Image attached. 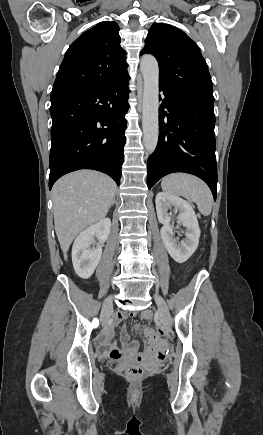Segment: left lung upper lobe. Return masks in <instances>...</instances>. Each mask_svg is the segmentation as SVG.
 Wrapping results in <instances>:
<instances>
[{"instance_id":"left-lung-upper-lobe-1","label":"left lung upper lobe","mask_w":263,"mask_h":435,"mask_svg":"<svg viewBox=\"0 0 263 435\" xmlns=\"http://www.w3.org/2000/svg\"><path fill=\"white\" fill-rule=\"evenodd\" d=\"M159 63V84L214 101L211 76L199 47L183 31L155 23L148 31L142 54Z\"/></svg>"}]
</instances>
